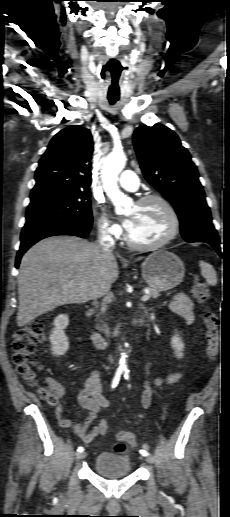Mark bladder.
Listing matches in <instances>:
<instances>
[{"label": "bladder", "mask_w": 230, "mask_h": 517, "mask_svg": "<svg viewBox=\"0 0 230 517\" xmlns=\"http://www.w3.org/2000/svg\"><path fill=\"white\" fill-rule=\"evenodd\" d=\"M93 470L107 478H119L130 475L132 469L128 458L102 452L96 456Z\"/></svg>", "instance_id": "1"}]
</instances>
